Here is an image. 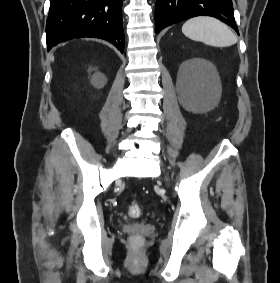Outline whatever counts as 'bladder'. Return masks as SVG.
<instances>
[{"label": "bladder", "mask_w": 280, "mask_h": 283, "mask_svg": "<svg viewBox=\"0 0 280 283\" xmlns=\"http://www.w3.org/2000/svg\"><path fill=\"white\" fill-rule=\"evenodd\" d=\"M144 223V220H141V221H139V222H136L135 224L137 225V226H140V225H142Z\"/></svg>", "instance_id": "obj_1"}]
</instances>
